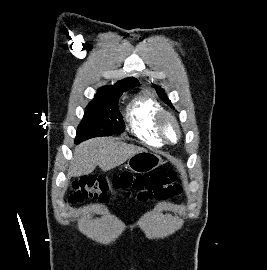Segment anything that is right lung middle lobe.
<instances>
[{
  "label": "right lung middle lobe",
  "instance_id": "dd1d6c3e",
  "mask_svg": "<svg viewBox=\"0 0 267 270\" xmlns=\"http://www.w3.org/2000/svg\"><path fill=\"white\" fill-rule=\"evenodd\" d=\"M122 93L99 91L95 95L77 128L76 143L92 137L109 136L124 131L125 124L118 109V100Z\"/></svg>",
  "mask_w": 267,
  "mask_h": 270
}]
</instances>
